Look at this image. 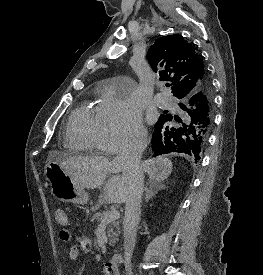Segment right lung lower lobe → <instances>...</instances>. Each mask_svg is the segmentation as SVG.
<instances>
[{"label": "right lung lower lobe", "instance_id": "98d812e1", "mask_svg": "<svg viewBox=\"0 0 263 275\" xmlns=\"http://www.w3.org/2000/svg\"><path fill=\"white\" fill-rule=\"evenodd\" d=\"M211 96L212 87L207 80L196 92L178 97L183 99L180 107L185 111V116L182 120L171 114L160 116L151 140L155 156L169 152H184L196 160L200 159L212 125L211 123L209 126L208 119V102Z\"/></svg>", "mask_w": 263, "mask_h": 275}]
</instances>
